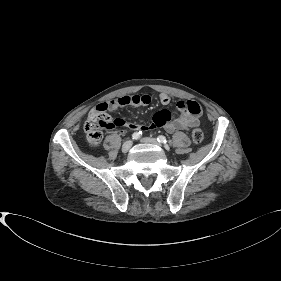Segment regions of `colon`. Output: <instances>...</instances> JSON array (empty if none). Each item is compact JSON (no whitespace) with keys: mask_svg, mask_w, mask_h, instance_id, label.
Masks as SVG:
<instances>
[{"mask_svg":"<svg viewBox=\"0 0 281 281\" xmlns=\"http://www.w3.org/2000/svg\"><path fill=\"white\" fill-rule=\"evenodd\" d=\"M116 127V120L104 109L95 108L90 111L84 125L87 141L90 145H98L104 136V131ZM192 140L200 144L204 140V132L201 128L192 130Z\"/></svg>","mask_w":281,"mask_h":281,"instance_id":"1","label":"colon"}]
</instances>
